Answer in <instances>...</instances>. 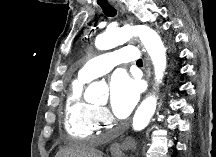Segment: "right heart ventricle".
<instances>
[{
    "instance_id": "e07e8e85",
    "label": "right heart ventricle",
    "mask_w": 216,
    "mask_h": 157,
    "mask_svg": "<svg viewBox=\"0 0 216 157\" xmlns=\"http://www.w3.org/2000/svg\"><path fill=\"white\" fill-rule=\"evenodd\" d=\"M88 81L75 78L65 100L64 128L77 138H89L99 128L95 122L97 108L83 97V89Z\"/></svg>"
}]
</instances>
